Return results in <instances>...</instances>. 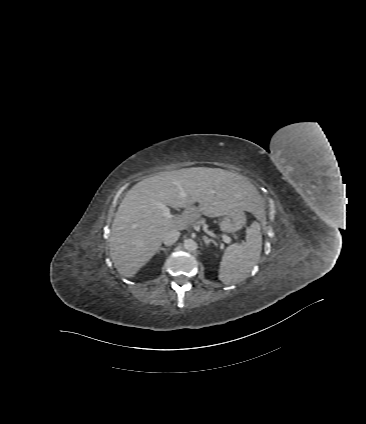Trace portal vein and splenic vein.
<instances>
[{
    "label": "portal vein and splenic vein",
    "instance_id": "portal-vein-and-splenic-vein-1",
    "mask_svg": "<svg viewBox=\"0 0 366 424\" xmlns=\"http://www.w3.org/2000/svg\"><path fill=\"white\" fill-rule=\"evenodd\" d=\"M158 208L162 211L163 217H165L166 219H172L173 218V215H172L169 207H167L164 204H159ZM223 240L228 243V242L231 241V237H229L227 235H223Z\"/></svg>",
    "mask_w": 366,
    "mask_h": 424
}]
</instances>
